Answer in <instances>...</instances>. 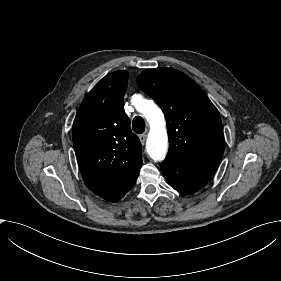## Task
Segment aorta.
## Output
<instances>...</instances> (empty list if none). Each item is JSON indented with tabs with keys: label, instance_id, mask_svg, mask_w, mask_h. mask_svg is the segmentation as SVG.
<instances>
[{
	"label": "aorta",
	"instance_id": "1",
	"mask_svg": "<svg viewBox=\"0 0 281 281\" xmlns=\"http://www.w3.org/2000/svg\"><path fill=\"white\" fill-rule=\"evenodd\" d=\"M132 104L150 125L146 142L147 153L154 161L164 160L168 149V136L162 111L153 101L140 96L134 97Z\"/></svg>",
	"mask_w": 281,
	"mask_h": 281
}]
</instances>
